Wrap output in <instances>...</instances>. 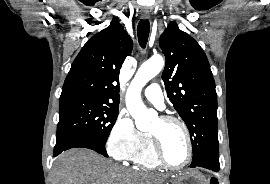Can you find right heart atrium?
I'll return each instance as SVG.
<instances>
[{
	"mask_svg": "<svg viewBox=\"0 0 270 184\" xmlns=\"http://www.w3.org/2000/svg\"><path fill=\"white\" fill-rule=\"evenodd\" d=\"M145 134L134 125L126 114L120 113L113 123L106 141L108 154L117 161H130L141 147Z\"/></svg>",
	"mask_w": 270,
	"mask_h": 184,
	"instance_id": "d8ad5b80",
	"label": "right heart atrium"
}]
</instances>
